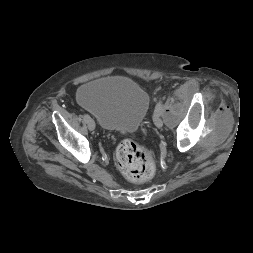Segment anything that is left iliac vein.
Segmentation results:
<instances>
[{
	"instance_id": "4c4485c4",
	"label": "left iliac vein",
	"mask_w": 253,
	"mask_h": 253,
	"mask_svg": "<svg viewBox=\"0 0 253 253\" xmlns=\"http://www.w3.org/2000/svg\"><path fill=\"white\" fill-rule=\"evenodd\" d=\"M153 120L157 128H161L163 126V120L161 118L160 112L154 113Z\"/></svg>"
}]
</instances>
